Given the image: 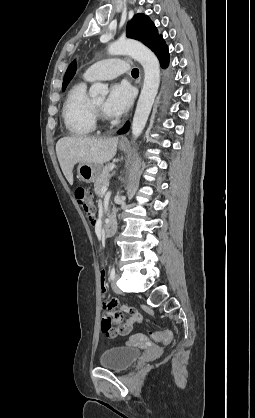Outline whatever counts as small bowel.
I'll use <instances>...</instances> for the list:
<instances>
[{"mask_svg":"<svg viewBox=\"0 0 255 418\" xmlns=\"http://www.w3.org/2000/svg\"><path fill=\"white\" fill-rule=\"evenodd\" d=\"M97 254L98 255H103L104 254V249L103 248H98L97 249ZM100 282H101V289H102V293H105V286H106V279H105V272L104 270L101 271V275H100ZM117 306V302L115 300H107L105 299L103 301V307L105 310H112ZM123 315H126L127 318L124 321L123 324L117 326V327H113V317L106 312L103 317H102V322H101V329L102 332L108 337V338H115L119 335H128L135 324H137L140 320H141V315L134 310L133 308L124 306L122 308V310L118 313L115 314V318H117L118 320H121V318L123 317Z\"/></svg>","mask_w":255,"mask_h":418,"instance_id":"c3829d8e","label":"small bowel"}]
</instances>
